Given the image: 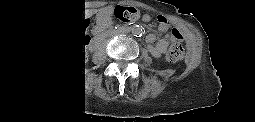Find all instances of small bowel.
Segmentation results:
<instances>
[{"label":"small bowel","mask_w":255,"mask_h":122,"mask_svg":"<svg viewBox=\"0 0 255 122\" xmlns=\"http://www.w3.org/2000/svg\"><path fill=\"white\" fill-rule=\"evenodd\" d=\"M168 28V24L164 20H160L159 30L165 31ZM179 38L173 35L171 32L169 35H167L165 38L161 39L156 45H153V43L156 41L157 36L154 33H150L146 37V41L148 43V50L151 52V54L157 58L161 57L169 44H172L176 40H182L181 34L178 32Z\"/></svg>","instance_id":"c3829d8e"}]
</instances>
